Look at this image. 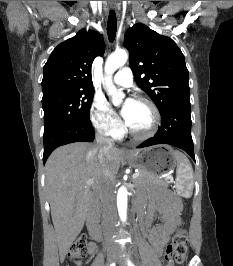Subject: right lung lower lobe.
Returning <instances> with one entry per match:
<instances>
[{
	"label": "right lung lower lobe",
	"instance_id": "1",
	"mask_svg": "<svg viewBox=\"0 0 233 266\" xmlns=\"http://www.w3.org/2000/svg\"><path fill=\"white\" fill-rule=\"evenodd\" d=\"M94 138V130L90 120L56 127L44 133L43 162L45 163L51 152L59 146L79 141L91 142Z\"/></svg>",
	"mask_w": 233,
	"mask_h": 266
}]
</instances>
